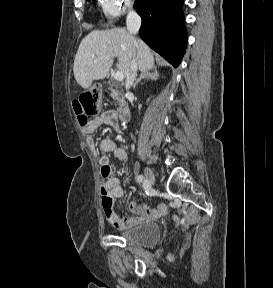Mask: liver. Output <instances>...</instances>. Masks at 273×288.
Returning a JSON list of instances; mask_svg holds the SVG:
<instances>
[{
  "instance_id": "liver-1",
  "label": "liver",
  "mask_w": 273,
  "mask_h": 288,
  "mask_svg": "<svg viewBox=\"0 0 273 288\" xmlns=\"http://www.w3.org/2000/svg\"><path fill=\"white\" fill-rule=\"evenodd\" d=\"M114 57L118 58L116 67L124 77L133 59L142 72L154 68L151 49L141 39H135L122 28L94 30L81 41L75 55L73 72L77 83L88 89L94 80L107 77Z\"/></svg>"
}]
</instances>
